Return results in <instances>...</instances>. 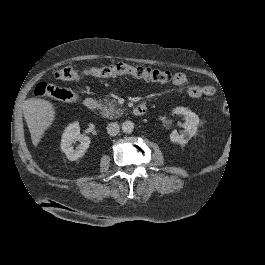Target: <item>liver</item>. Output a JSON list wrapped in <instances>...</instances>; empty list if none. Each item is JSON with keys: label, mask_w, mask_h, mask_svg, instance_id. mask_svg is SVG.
I'll return each instance as SVG.
<instances>
[{"label": "liver", "mask_w": 265, "mask_h": 265, "mask_svg": "<svg viewBox=\"0 0 265 265\" xmlns=\"http://www.w3.org/2000/svg\"><path fill=\"white\" fill-rule=\"evenodd\" d=\"M24 113L32 144L37 148L46 132L55 124L56 106L40 96H32L25 103Z\"/></svg>", "instance_id": "1"}]
</instances>
